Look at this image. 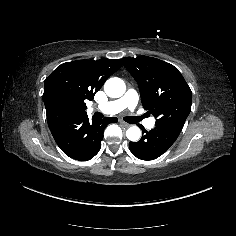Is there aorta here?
Returning a JSON list of instances; mask_svg holds the SVG:
<instances>
[{
    "label": "aorta",
    "mask_w": 236,
    "mask_h": 236,
    "mask_svg": "<svg viewBox=\"0 0 236 236\" xmlns=\"http://www.w3.org/2000/svg\"><path fill=\"white\" fill-rule=\"evenodd\" d=\"M125 89L124 82L117 77L108 79L104 84V91L110 98L121 97L124 94ZM126 136L130 141L136 142L141 136V130L137 126H132L127 129Z\"/></svg>",
    "instance_id": "aorta-1"
}]
</instances>
